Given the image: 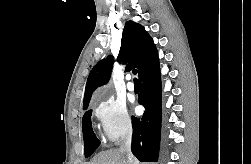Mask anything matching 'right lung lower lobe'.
<instances>
[{
	"mask_svg": "<svg viewBox=\"0 0 251 164\" xmlns=\"http://www.w3.org/2000/svg\"><path fill=\"white\" fill-rule=\"evenodd\" d=\"M139 103L145 107L142 118L132 117V153L141 162H157L161 135V78L159 64L139 78Z\"/></svg>",
	"mask_w": 251,
	"mask_h": 164,
	"instance_id": "obj_1",
	"label": "right lung lower lobe"
}]
</instances>
